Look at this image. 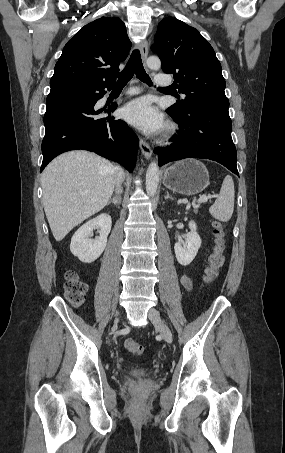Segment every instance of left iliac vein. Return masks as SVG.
<instances>
[{
    "mask_svg": "<svg viewBox=\"0 0 285 453\" xmlns=\"http://www.w3.org/2000/svg\"><path fill=\"white\" fill-rule=\"evenodd\" d=\"M148 317L153 325L159 330L166 342L172 341V333L169 327L163 322L159 311L151 308L148 312Z\"/></svg>",
    "mask_w": 285,
    "mask_h": 453,
    "instance_id": "obj_1",
    "label": "left iliac vein"
}]
</instances>
